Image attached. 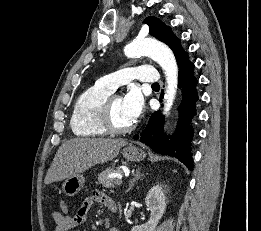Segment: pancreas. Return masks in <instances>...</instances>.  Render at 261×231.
I'll return each instance as SVG.
<instances>
[{
	"label": "pancreas",
	"mask_w": 261,
	"mask_h": 231,
	"mask_svg": "<svg viewBox=\"0 0 261 231\" xmlns=\"http://www.w3.org/2000/svg\"><path fill=\"white\" fill-rule=\"evenodd\" d=\"M111 174H122V171L119 169H115L114 167H108L106 170H103L99 175H98V183L101 184L105 188H114L116 184V178H111L109 175Z\"/></svg>",
	"instance_id": "pancreas-1"
}]
</instances>
